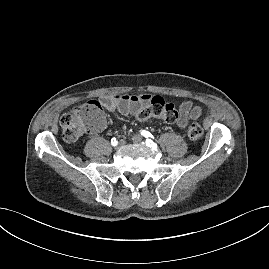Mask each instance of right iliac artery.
I'll return each mask as SVG.
<instances>
[{"mask_svg": "<svg viewBox=\"0 0 269 269\" xmlns=\"http://www.w3.org/2000/svg\"><path fill=\"white\" fill-rule=\"evenodd\" d=\"M118 141L116 140V138H112L111 139V144L114 146L115 144H117Z\"/></svg>", "mask_w": 269, "mask_h": 269, "instance_id": "82829eb1", "label": "right iliac artery"}]
</instances>
